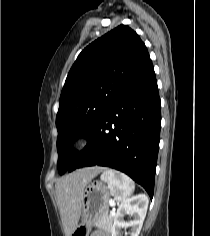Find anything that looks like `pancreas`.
Wrapping results in <instances>:
<instances>
[{
	"mask_svg": "<svg viewBox=\"0 0 210 236\" xmlns=\"http://www.w3.org/2000/svg\"><path fill=\"white\" fill-rule=\"evenodd\" d=\"M114 221V215H108L107 211L95 222V225L104 230H111L112 223Z\"/></svg>",
	"mask_w": 210,
	"mask_h": 236,
	"instance_id": "obj_1",
	"label": "pancreas"
}]
</instances>
